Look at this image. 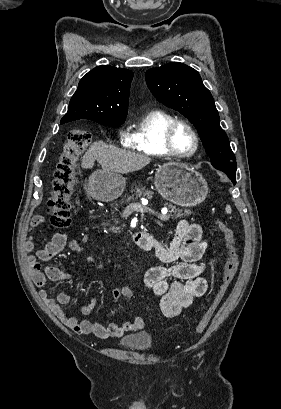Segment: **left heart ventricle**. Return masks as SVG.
Instances as JSON below:
<instances>
[{
  "instance_id": "left-heart-ventricle-1",
  "label": "left heart ventricle",
  "mask_w": 281,
  "mask_h": 409,
  "mask_svg": "<svg viewBox=\"0 0 281 409\" xmlns=\"http://www.w3.org/2000/svg\"><path fill=\"white\" fill-rule=\"evenodd\" d=\"M175 143L177 149L182 153H189L193 150L194 142L191 134L185 128L178 130L176 134Z\"/></svg>"
}]
</instances>
